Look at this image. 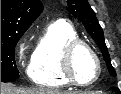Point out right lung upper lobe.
I'll use <instances>...</instances> for the list:
<instances>
[{"mask_svg": "<svg viewBox=\"0 0 121 94\" xmlns=\"http://www.w3.org/2000/svg\"><path fill=\"white\" fill-rule=\"evenodd\" d=\"M42 10L40 0H1V34L27 30Z\"/></svg>", "mask_w": 121, "mask_h": 94, "instance_id": "obj_1", "label": "right lung upper lobe"}]
</instances>
